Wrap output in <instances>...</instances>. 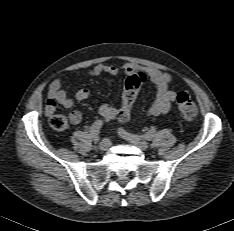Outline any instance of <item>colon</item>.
<instances>
[{
    "instance_id": "5ec220e1",
    "label": "colon",
    "mask_w": 234,
    "mask_h": 231,
    "mask_svg": "<svg viewBox=\"0 0 234 231\" xmlns=\"http://www.w3.org/2000/svg\"><path fill=\"white\" fill-rule=\"evenodd\" d=\"M145 80L146 77L143 73L132 74L126 78L122 93V105L117 116L119 122L125 123L129 121L132 106ZM176 103L180 114L186 120H193L196 117L197 105L189 94L186 92L178 93ZM51 125L54 129L61 131L68 127V121L65 116L57 114L52 116Z\"/></svg>"
}]
</instances>
